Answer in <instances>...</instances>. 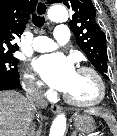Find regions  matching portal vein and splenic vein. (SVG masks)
Here are the masks:
<instances>
[{"label":"portal vein and splenic vein","instance_id":"obj_1","mask_svg":"<svg viewBox=\"0 0 117 136\" xmlns=\"http://www.w3.org/2000/svg\"><path fill=\"white\" fill-rule=\"evenodd\" d=\"M89 136H100V134L99 132H95V133L90 134Z\"/></svg>","mask_w":117,"mask_h":136}]
</instances>
